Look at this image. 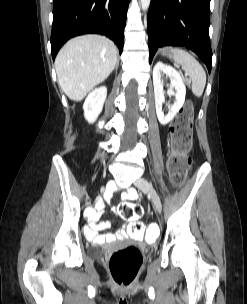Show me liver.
<instances>
[{
	"label": "liver",
	"mask_w": 247,
	"mask_h": 304,
	"mask_svg": "<svg viewBox=\"0 0 247 304\" xmlns=\"http://www.w3.org/2000/svg\"><path fill=\"white\" fill-rule=\"evenodd\" d=\"M118 50L105 36L83 35L69 40L55 60L58 82L64 93L81 101L113 71Z\"/></svg>",
	"instance_id": "1"
}]
</instances>
